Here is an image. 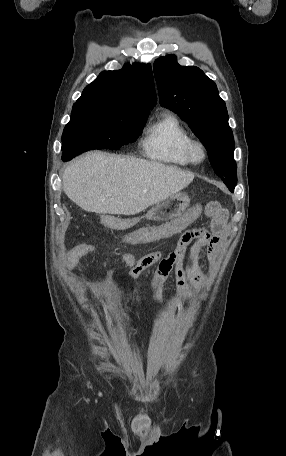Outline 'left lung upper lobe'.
I'll return each mask as SVG.
<instances>
[{
	"instance_id": "1",
	"label": "left lung upper lobe",
	"mask_w": 286,
	"mask_h": 456,
	"mask_svg": "<svg viewBox=\"0 0 286 456\" xmlns=\"http://www.w3.org/2000/svg\"><path fill=\"white\" fill-rule=\"evenodd\" d=\"M160 104L188 123L208 151L210 163L229 190L236 182L234 138L225 102L216 84L194 66H180L174 55L154 63Z\"/></svg>"
}]
</instances>
